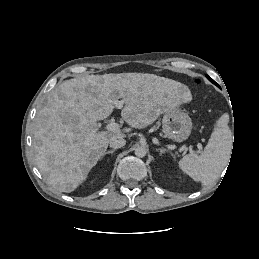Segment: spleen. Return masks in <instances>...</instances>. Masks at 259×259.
Returning a JSON list of instances; mask_svg holds the SVG:
<instances>
[{"label":"spleen","mask_w":259,"mask_h":259,"mask_svg":"<svg viewBox=\"0 0 259 259\" xmlns=\"http://www.w3.org/2000/svg\"><path fill=\"white\" fill-rule=\"evenodd\" d=\"M228 123L229 115L224 113L201 154H188L179 161V168L194 181L210 185L227 166L233 144Z\"/></svg>","instance_id":"1"}]
</instances>
